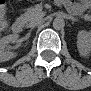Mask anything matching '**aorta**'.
<instances>
[{
	"instance_id": "obj_1",
	"label": "aorta",
	"mask_w": 91,
	"mask_h": 91,
	"mask_svg": "<svg viewBox=\"0 0 91 91\" xmlns=\"http://www.w3.org/2000/svg\"><path fill=\"white\" fill-rule=\"evenodd\" d=\"M65 26V21L63 18L57 17L53 20V28L55 30H61Z\"/></svg>"
}]
</instances>
